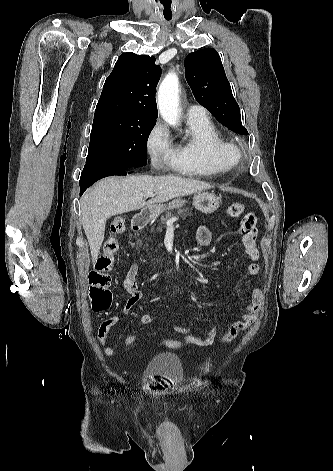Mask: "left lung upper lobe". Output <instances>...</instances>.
<instances>
[{
	"instance_id": "5c2ea615",
	"label": "left lung upper lobe",
	"mask_w": 333,
	"mask_h": 471,
	"mask_svg": "<svg viewBox=\"0 0 333 471\" xmlns=\"http://www.w3.org/2000/svg\"><path fill=\"white\" fill-rule=\"evenodd\" d=\"M186 80L194 97L224 126L247 135L220 56L213 48L190 53L185 59Z\"/></svg>"
}]
</instances>
